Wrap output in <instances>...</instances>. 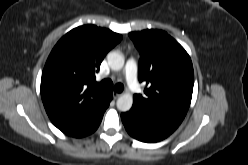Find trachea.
<instances>
[{"mask_svg": "<svg viewBox=\"0 0 248 165\" xmlns=\"http://www.w3.org/2000/svg\"><path fill=\"white\" fill-rule=\"evenodd\" d=\"M99 85L103 88H107V89H112L113 88V82L110 80V79H104L103 81H101L99 83ZM124 89V86L123 84L121 83H117L115 86H114V91L118 92V93H121Z\"/></svg>", "mask_w": 248, "mask_h": 165, "instance_id": "obj_1", "label": "trachea"}]
</instances>
